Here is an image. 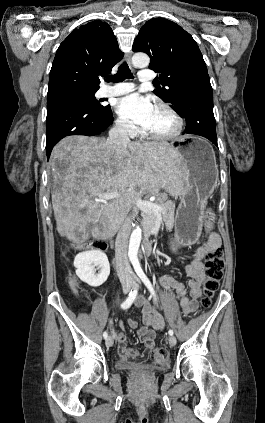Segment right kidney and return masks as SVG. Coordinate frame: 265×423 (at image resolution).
Returning a JSON list of instances; mask_svg holds the SVG:
<instances>
[{"label": "right kidney", "instance_id": "ca27d5eb", "mask_svg": "<svg viewBox=\"0 0 265 423\" xmlns=\"http://www.w3.org/2000/svg\"><path fill=\"white\" fill-rule=\"evenodd\" d=\"M76 275L89 286L102 285L110 274V265L106 254L101 250H90L79 253L74 259ZM98 267L99 273L95 274Z\"/></svg>", "mask_w": 265, "mask_h": 423}]
</instances>
